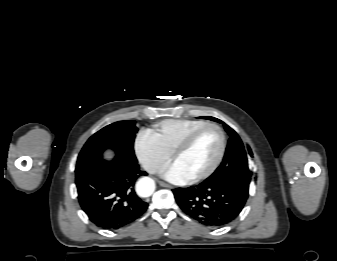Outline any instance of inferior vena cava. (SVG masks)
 I'll use <instances>...</instances> for the list:
<instances>
[{"mask_svg":"<svg viewBox=\"0 0 337 261\" xmlns=\"http://www.w3.org/2000/svg\"><path fill=\"white\" fill-rule=\"evenodd\" d=\"M145 170L149 173H155L160 168L158 165L155 164H147L144 166Z\"/></svg>","mask_w":337,"mask_h":261,"instance_id":"obj_1","label":"inferior vena cava"}]
</instances>
